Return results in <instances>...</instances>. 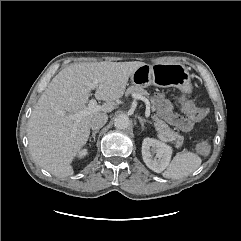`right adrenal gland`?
<instances>
[{
  "mask_svg": "<svg viewBox=\"0 0 241 241\" xmlns=\"http://www.w3.org/2000/svg\"><path fill=\"white\" fill-rule=\"evenodd\" d=\"M99 132V130H95L92 132V135L89 137V141H91V139L93 138V141L95 142V138H96V134Z\"/></svg>",
  "mask_w": 241,
  "mask_h": 241,
  "instance_id": "right-adrenal-gland-1",
  "label": "right adrenal gland"
}]
</instances>
